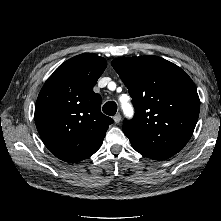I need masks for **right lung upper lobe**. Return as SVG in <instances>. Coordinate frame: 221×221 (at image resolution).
<instances>
[{
  "mask_svg": "<svg viewBox=\"0 0 221 221\" xmlns=\"http://www.w3.org/2000/svg\"><path fill=\"white\" fill-rule=\"evenodd\" d=\"M106 65L97 55H77L54 71L38 95L37 130L50 152L65 162L93 155L113 123L101 113V97L93 92Z\"/></svg>",
  "mask_w": 221,
  "mask_h": 221,
  "instance_id": "obj_1",
  "label": "right lung upper lobe"
}]
</instances>
